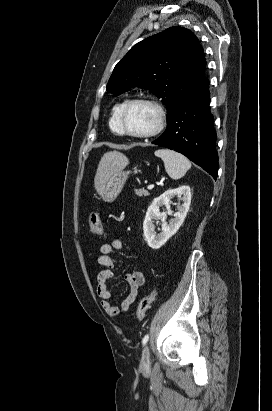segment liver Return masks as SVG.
Masks as SVG:
<instances>
[{"mask_svg":"<svg viewBox=\"0 0 272 411\" xmlns=\"http://www.w3.org/2000/svg\"><path fill=\"white\" fill-rule=\"evenodd\" d=\"M128 164V158L118 151H110L105 153L97 168L94 179L95 189L101 194L106 181L116 171L124 168Z\"/></svg>","mask_w":272,"mask_h":411,"instance_id":"1","label":"liver"}]
</instances>
